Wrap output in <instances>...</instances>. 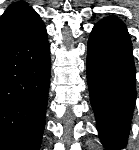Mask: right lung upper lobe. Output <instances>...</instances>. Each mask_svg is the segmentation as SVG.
<instances>
[{"label": "right lung upper lobe", "mask_w": 139, "mask_h": 150, "mask_svg": "<svg viewBox=\"0 0 139 150\" xmlns=\"http://www.w3.org/2000/svg\"><path fill=\"white\" fill-rule=\"evenodd\" d=\"M32 8L28 6L27 3L20 1L11 4L3 13L1 20H0V27L6 25L7 23L11 22L18 16L22 15L24 12L31 10Z\"/></svg>", "instance_id": "obj_1"}]
</instances>
